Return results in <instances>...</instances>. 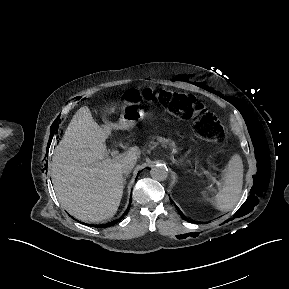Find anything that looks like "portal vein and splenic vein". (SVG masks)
Returning <instances> with one entry per match:
<instances>
[{
	"label": "portal vein and splenic vein",
	"mask_w": 289,
	"mask_h": 289,
	"mask_svg": "<svg viewBox=\"0 0 289 289\" xmlns=\"http://www.w3.org/2000/svg\"><path fill=\"white\" fill-rule=\"evenodd\" d=\"M111 160H114V159H119L120 158V156H119V154H118V152L117 151H113L112 153H111ZM203 173L205 174V176L207 177V179H208V181H210V182H212V183H216L217 185H220V182L209 172V171H207V170H203ZM209 187H211V185H209Z\"/></svg>",
	"instance_id": "obj_1"
}]
</instances>
